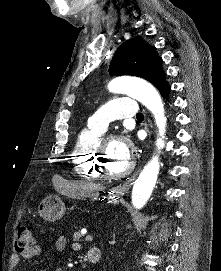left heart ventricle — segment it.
Wrapping results in <instances>:
<instances>
[{
  "mask_svg": "<svg viewBox=\"0 0 221 271\" xmlns=\"http://www.w3.org/2000/svg\"><path fill=\"white\" fill-rule=\"evenodd\" d=\"M125 164L123 156H108L104 160L109 175H124L125 171L122 165Z\"/></svg>",
  "mask_w": 221,
  "mask_h": 271,
  "instance_id": "b2bd125f",
  "label": "left heart ventricle"
}]
</instances>
